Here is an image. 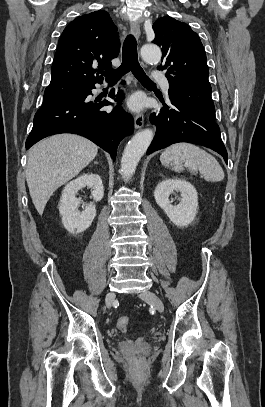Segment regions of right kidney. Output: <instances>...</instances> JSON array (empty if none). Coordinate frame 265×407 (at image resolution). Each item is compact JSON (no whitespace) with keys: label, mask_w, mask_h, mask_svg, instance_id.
Listing matches in <instances>:
<instances>
[{"label":"right kidney","mask_w":265,"mask_h":407,"mask_svg":"<svg viewBox=\"0 0 265 407\" xmlns=\"http://www.w3.org/2000/svg\"><path fill=\"white\" fill-rule=\"evenodd\" d=\"M89 187L95 202L100 201L104 196L102 179L97 174H84L68 183L62 192L58 205L62 224L64 228L72 233H81L88 229L96 216V207L94 202L87 204L84 211H78L80 200L75 197L78 190Z\"/></svg>","instance_id":"1"}]
</instances>
